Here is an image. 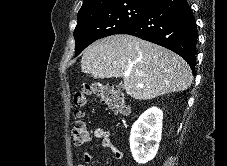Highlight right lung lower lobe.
Returning <instances> with one entry per match:
<instances>
[{
  "mask_svg": "<svg viewBox=\"0 0 227 166\" xmlns=\"http://www.w3.org/2000/svg\"><path fill=\"white\" fill-rule=\"evenodd\" d=\"M177 53L195 72L196 22L187 0H158L139 20L120 31Z\"/></svg>",
  "mask_w": 227,
  "mask_h": 166,
  "instance_id": "right-lung-lower-lobe-1",
  "label": "right lung lower lobe"
}]
</instances>
